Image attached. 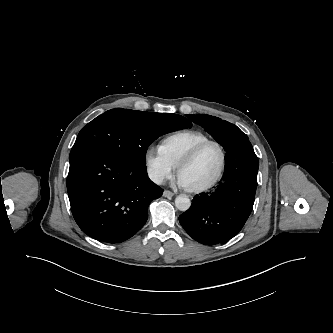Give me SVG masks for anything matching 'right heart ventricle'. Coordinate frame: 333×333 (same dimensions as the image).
Returning a JSON list of instances; mask_svg holds the SVG:
<instances>
[{
    "mask_svg": "<svg viewBox=\"0 0 333 333\" xmlns=\"http://www.w3.org/2000/svg\"><path fill=\"white\" fill-rule=\"evenodd\" d=\"M209 140L208 136L197 130H185L164 138L159 146L165 157L177 167L180 161L198 144Z\"/></svg>",
    "mask_w": 333,
    "mask_h": 333,
    "instance_id": "obj_1",
    "label": "right heart ventricle"
}]
</instances>
